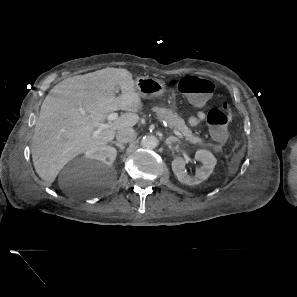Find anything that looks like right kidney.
<instances>
[{
  "mask_svg": "<svg viewBox=\"0 0 297 297\" xmlns=\"http://www.w3.org/2000/svg\"><path fill=\"white\" fill-rule=\"evenodd\" d=\"M117 156V150L111 146H95L91 147L85 152V157L90 160L100 162L99 164H105L111 166Z\"/></svg>",
  "mask_w": 297,
  "mask_h": 297,
  "instance_id": "1",
  "label": "right kidney"
}]
</instances>
